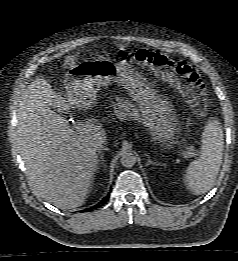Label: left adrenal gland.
Instances as JSON below:
<instances>
[{
	"mask_svg": "<svg viewBox=\"0 0 238 261\" xmlns=\"http://www.w3.org/2000/svg\"><path fill=\"white\" fill-rule=\"evenodd\" d=\"M145 156L148 158L147 159V163H146V166H149L150 164H156L157 165V162H154L150 159V155L146 154L145 153Z\"/></svg>",
	"mask_w": 238,
	"mask_h": 261,
	"instance_id": "a2214340",
	"label": "left adrenal gland"
}]
</instances>
